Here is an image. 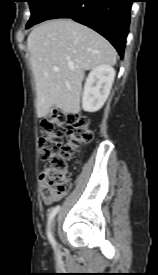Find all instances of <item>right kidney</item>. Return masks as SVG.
Returning <instances> with one entry per match:
<instances>
[{"label": "right kidney", "mask_w": 158, "mask_h": 275, "mask_svg": "<svg viewBox=\"0 0 158 275\" xmlns=\"http://www.w3.org/2000/svg\"><path fill=\"white\" fill-rule=\"evenodd\" d=\"M115 77L112 66L102 64L95 67L88 75L82 97V107L86 112H96L105 103Z\"/></svg>", "instance_id": "ca27d5eb"}]
</instances>
